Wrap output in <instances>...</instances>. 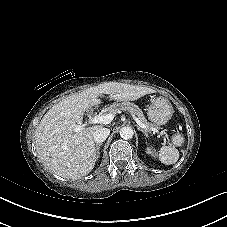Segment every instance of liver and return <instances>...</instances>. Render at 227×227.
<instances>
[{
	"instance_id": "6515ba94",
	"label": "liver",
	"mask_w": 227,
	"mask_h": 227,
	"mask_svg": "<svg viewBox=\"0 0 227 227\" xmlns=\"http://www.w3.org/2000/svg\"><path fill=\"white\" fill-rule=\"evenodd\" d=\"M153 89L124 83H105L70 95L54 105L41 119L35 131L38 156L47 169L56 175L77 180L89 174L96 163L94 132L102 125L73 130L82 123L88 108L99 104V96L108 94L113 100L134 101Z\"/></svg>"
}]
</instances>
